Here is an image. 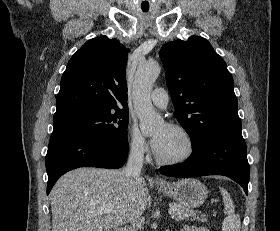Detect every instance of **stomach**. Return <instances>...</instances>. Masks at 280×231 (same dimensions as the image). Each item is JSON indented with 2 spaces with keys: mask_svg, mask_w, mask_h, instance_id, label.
<instances>
[{
  "mask_svg": "<svg viewBox=\"0 0 280 231\" xmlns=\"http://www.w3.org/2000/svg\"><path fill=\"white\" fill-rule=\"evenodd\" d=\"M158 187L165 195H169L177 203L190 209L202 205L208 195L206 185H203L199 179H179L174 183H168L167 187L163 185H158Z\"/></svg>",
  "mask_w": 280,
  "mask_h": 231,
  "instance_id": "0dacf381",
  "label": "stomach"
}]
</instances>
